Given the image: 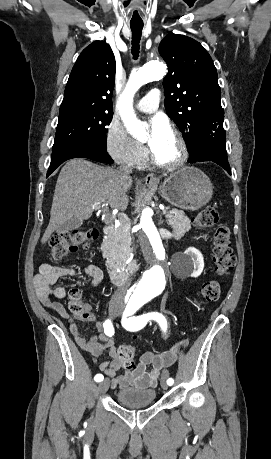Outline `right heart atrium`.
<instances>
[{
	"instance_id": "1",
	"label": "right heart atrium",
	"mask_w": 271,
	"mask_h": 459,
	"mask_svg": "<svg viewBox=\"0 0 271 459\" xmlns=\"http://www.w3.org/2000/svg\"><path fill=\"white\" fill-rule=\"evenodd\" d=\"M105 147L115 161L131 166L141 164L148 155L146 147L133 139L127 128L117 122L107 127Z\"/></svg>"
}]
</instances>
